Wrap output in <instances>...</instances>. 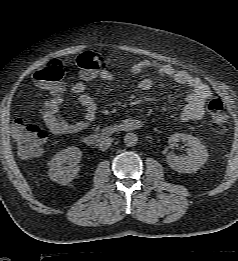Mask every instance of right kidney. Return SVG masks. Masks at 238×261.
<instances>
[{
    "label": "right kidney",
    "mask_w": 238,
    "mask_h": 261,
    "mask_svg": "<svg viewBox=\"0 0 238 261\" xmlns=\"http://www.w3.org/2000/svg\"><path fill=\"white\" fill-rule=\"evenodd\" d=\"M82 151L71 146L54 155L49 162V177L61 185L69 184L80 170ZM68 165V166H65Z\"/></svg>",
    "instance_id": "right-kidney-1"
}]
</instances>
